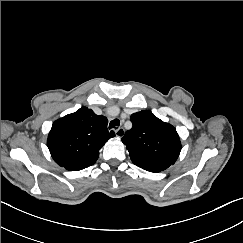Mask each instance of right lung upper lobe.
Returning <instances> with one entry per match:
<instances>
[{
    "mask_svg": "<svg viewBox=\"0 0 243 243\" xmlns=\"http://www.w3.org/2000/svg\"><path fill=\"white\" fill-rule=\"evenodd\" d=\"M108 120L82 107L56 120L48 135V149L55 162L69 171H78L93 165L99 150L112 137Z\"/></svg>",
    "mask_w": 243,
    "mask_h": 243,
    "instance_id": "right-lung-upper-lobe-1",
    "label": "right lung upper lobe"
}]
</instances>
